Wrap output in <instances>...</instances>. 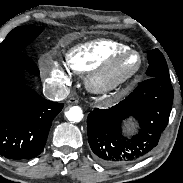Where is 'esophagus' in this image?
<instances>
[{
	"label": "esophagus",
	"instance_id": "1",
	"mask_svg": "<svg viewBox=\"0 0 183 183\" xmlns=\"http://www.w3.org/2000/svg\"><path fill=\"white\" fill-rule=\"evenodd\" d=\"M69 104H78L79 100L75 97H70L67 101Z\"/></svg>",
	"mask_w": 183,
	"mask_h": 183
}]
</instances>
